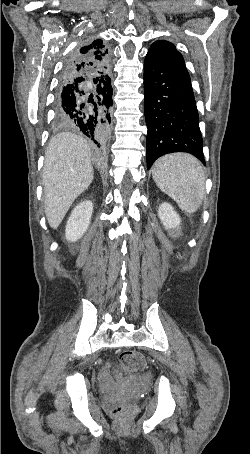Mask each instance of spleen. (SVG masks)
Returning <instances> with one entry per match:
<instances>
[{"mask_svg":"<svg viewBox=\"0 0 250 454\" xmlns=\"http://www.w3.org/2000/svg\"><path fill=\"white\" fill-rule=\"evenodd\" d=\"M156 185L187 213L202 204L205 176L200 162L188 154H170L158 159L152 171Z\"/></svg>","mask_w":250,"mask_h":454,"instance_id":"spleen-1","label":"spleen"}]
</instances>
